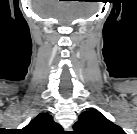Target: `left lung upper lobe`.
Returning a JSON list of instances; mask_svg holds the SVG:
<instances>
[{
  "label": "left lung upper lobe",
  "mask_w": 137,
  "mask_h": 134,
  "mask_svg": "<svg viewBox=\"0 0 137 134\" xmlns=\"http://www.w3.org/2000/svg\"><path fill=\"white\" fill-rule=\"evenodd\" d=\"M73 129L74 134H126L121 127L94 109L82 112Z\"/></svg>",
  "instance_id": "5c2ea615"
}]
</instances>
